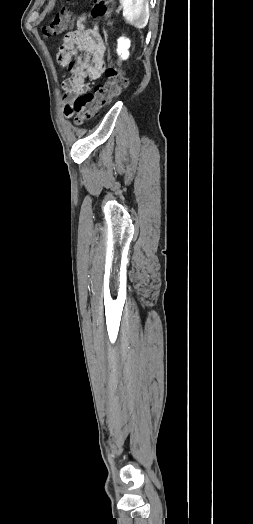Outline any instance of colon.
Instances as JSON below:
<instances>
[{
	"mask_svg": "<svg viewBox=\"0 0 253 524\" xmlns=\"http://www.w3.org/2000/svg\"><path fill=\"white\" fill-rule=\"evenodd\" d=\"M113 0H94L91 10L93 19H108L113 8ZM74 16L69 6L63 7L56 16L43 27L42 34L47 40L65 34L73 25ZM61 52V51H59ZM107 83L89 93L78 97L72 107L65 109V114L80 126L89 121L97 109L117 97L128 85V80L118 64L110 63L105 69Z\"/></svg>",
	"mask_w": 253,
	"mask_h": 524,
	"instance_id": "5ec220e1",
	"label": "colon"
}]
</instances>
